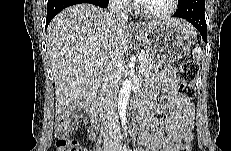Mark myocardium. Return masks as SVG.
<instances>
[{"instance_id": "f54148a6", "label": "myocardium", "mask_w": 231, "mask_h": 151, "mask_svg": "<svg viewBox=\"0 0 231 151\" xmlns=\"http://www.w3.org/2000/svg\"><path fill=\"white\" fill-rule=\"evenodd\" d=\"M177 3H178V0H170L169 7L165 9L164 11H160V12L148 11L144 9L140 3H136L134 7H135L136 12L140 14L141 16L147 19L157 20V19H164V18L171 16L176 10Z\"/></svg>"}]
</instances>
